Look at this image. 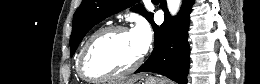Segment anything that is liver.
<instances>
[{
	"label": "liver",
	"instance_id": "6515ba94",
	"mask_svg": "<svg viewBox=\"0 0 260 84\" xmlns=\"http://www.w3.org/2000/svg\"><path fill=\"white\" fill-rule=\"evenodd\" d=\"M143 74H140V75H136L135 77L129 79V80H126L123 84H133L136 80H138L139 78L142 77Z\"/></svg>",
	"mask_w": 260,
	"mask_h": 84
}]
</instances>
